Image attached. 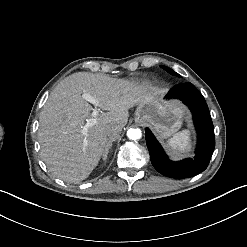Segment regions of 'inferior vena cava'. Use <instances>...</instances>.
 Wrapping results in <instances>:
<instances>
[{"instance_id":"inferior-vena-cava-1","label":"inferior vena cava","mask_w":247,"mask_h":247,"mask_svg":"<svg viewBox=\"0 0 247 247\" xmlns=\"http://www.w3.org/2000/svg\"><path fill=\"white\" fill-rule=\"evenodd\" d=\"M121 132H122V127L119 125H111L106 127L105 133L108 137V142L115 141L116 139H118Z\"/></svg>"}]
</instances>
